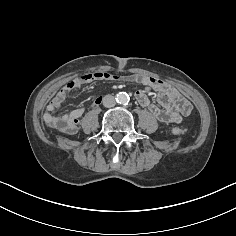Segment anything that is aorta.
<instances>
[{
	"label": "aorta",
	"mask_w": 236,
	"mask_h": 236,
	"mask_svg": "<svg viewBox=\"0 0 236 236\" xmlns=\"http://www.w3.org/2000/svg\"><path fill=\"white\" fill-rule=\"evenodd\" d=\"M130 98H129V95L125 92H120L118 95H117V102L120 103V104H128Z\"/></svg>",
	"instance_id": "1"
}]
</instances>
